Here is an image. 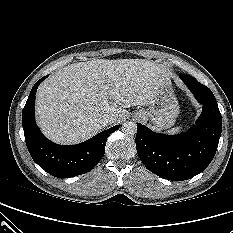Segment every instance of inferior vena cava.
<instances>
[{
  "instance_id": "obj_1",
  "label": "inferior vena cava",
  "mask_w": 233,
  "mask_h": 233,
  "mask_svg": "<svg viewBox=\"0 0 233 233\" xmlns=\"http://www.w3.org/2000/svg\"><path fill=\"white\" fill-rule=\"evenodd\" d=\"M97 124L100 126V127H106L107 125L111 124L112 122V117L109 116V115H101L99 116L96 120Z\"/></svg>"
}]
</instances>
